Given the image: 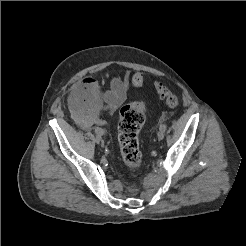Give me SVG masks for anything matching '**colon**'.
<instances>
[{
  "label": "colon",
  "mask_w": 246,
  "mask_h": 246,
  "mask_svg": "<svg viewBox=\"0 0 246 246\" xmlns=\"http://www.w3.org/2000/svg\"><path fill=\"white\" fill-rule=\"evenodd\" d=\"M145 76L143 73H135L132 77V84L141 87L144 84ZM155 90L159 98L170 108H176L179 100L166 84L162 81H155ZM144 101H135L125 105L120 110V119L118 124V140L120 152L125 165L135 170L141 166L142 155L139 150L138 136L145 123Z\"/></svg>",
  "instance_id": "5ec220e1"
}]
</instances>
